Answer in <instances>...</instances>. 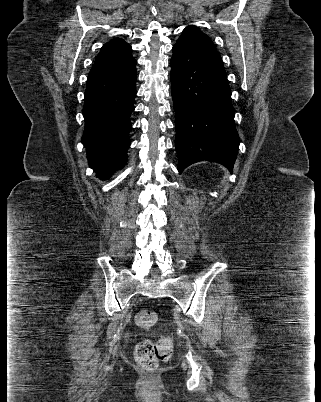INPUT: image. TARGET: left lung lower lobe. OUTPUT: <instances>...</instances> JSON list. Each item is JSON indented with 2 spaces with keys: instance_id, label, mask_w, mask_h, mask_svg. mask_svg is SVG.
<instances>
[{
  "instance_id": "obj_1",
  "label": "left lung lower lobe",
  "mask_w": 321,
  "mask_h": 402,
  "mask_svg": "<svg viewBox=\"0 0 321 402\" xmlns=\"http://www.w3.org/2000/svg\"><path fill=\"white\" fill-rule=\"evenodd\" d=\"M170 65L179 173L203 160L232 171L240 139L220 55L177 42Z\"/></svg>"
}]
</instances>
